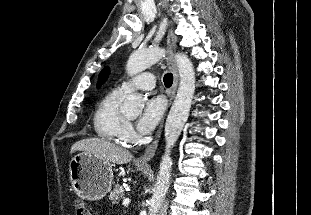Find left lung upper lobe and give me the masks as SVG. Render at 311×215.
<instances>
[{"label":"left lung upper lobe","instance_id":"left-lung-upper-lobe-1","mask_svg":"<svg viewBox=\"0 0 311 215\" xmlns=\"http://www.w3.org/2000/svg\"><path fill=\"white\" fill-rule=\"evenodd\" d=\"M108 75H109V68L106 67L100 73L98 86L106 80Z\"/></svg>","mask_w":311,"mask_h":215}]
</instances>
